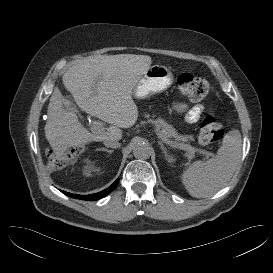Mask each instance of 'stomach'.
<instances>
[{
    "mask_svg": "<svg viewBox=\"0 0 273 273\" xmlns=\"http://www.w3.org/2000/svg\"><path fill=\"white\" fill-rule=\"evenodd\" d=\"M173 83V73L164 65H153L140 77L133 89V97L145 99L169 88Z\"/></svg>",
    "mask_w": 273,
    "mask_h": 273,
    "instance_id": "1",
    "label": "stomach"
}]
</instances>
